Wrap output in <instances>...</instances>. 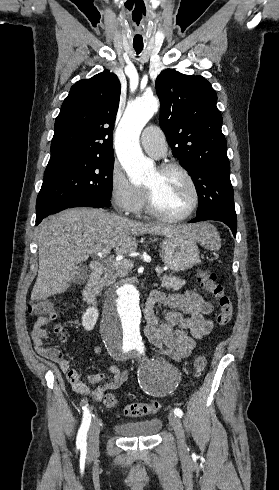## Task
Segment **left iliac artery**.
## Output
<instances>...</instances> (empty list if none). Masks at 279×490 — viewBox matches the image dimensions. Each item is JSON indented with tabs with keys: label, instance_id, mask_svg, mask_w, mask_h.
Wrapping results in <instances>:
<instances>
[{
	"label": "left iliac artery",
	"instance_id": "44dca946",
	"mask_svg": "<svg viewBox=\"0 0 279 490\" xmlns=\"http://www.w3.org/2000/svg\"><path fill=\"white\" fill-rule=\"evenodd\" d=\"M174 413H175V415H177V416H178V417H180V418L183 416V412H182V410H181V409H179V408H176V409L174 410Z\"/></svg>",
	"mask_w": 279,
	"mask_h": 490
}]
</instances>
